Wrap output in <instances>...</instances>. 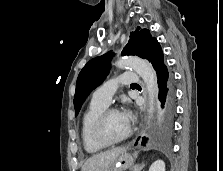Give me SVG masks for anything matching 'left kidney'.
<instances>
[{
    "label": "left kidney",
    "mask_w": 223,
    "mask_h": 171,
    "mask_svg": "<svg viewBox=\"0 0 223 171\" xmlns=\"http://www.w3.org/2000/svg\"><path fill=\"white\" fill-rule=\"evenodd\" d=\"M148 171H165V163L162 160H156Z\"/></svg>",
    "instance_id": "1"
}]
</instances>
